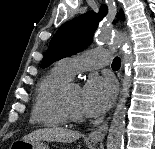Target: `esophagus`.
I'll use <instances>...</instances> for the list:
<instances>
[{"label": "esophagus", "mask_w": 155, "mask_h": 149, "mask_svg": "<svg viewBox=\"0 0 155 149\" xmlns=\"http://www.w3.org/2000/svg\"><path fill=\"white\" fill-rule=\"evenodd\" d=\"M107 131H108V122L104 123L103 125L98 127L96 130L92 131L88 135V140L92 142H101L105 138Z\"/></svg>", "instance_id": "1"}]
</instances>
